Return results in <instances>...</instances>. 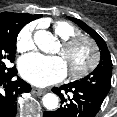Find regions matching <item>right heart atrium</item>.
Returning a JSON list of instances; mask_svg holds the SVG:
<instances>
[{"label":"right heart atrium","instance_id":"d8ad5b80","mask_svg":"<svg viewBox=\"0 0 117 117\" xmlns=\"http://www.w3.org/2000/svg\"><path fill=\"white\" fill-rule=\"evenodd\" d=\"M35 29L36 25L34 23H30L20 31L16 43L18 51L24 52L33 48V34Z\"/></svg>","mask_w":117,"mask_h":117}]
</instances>
